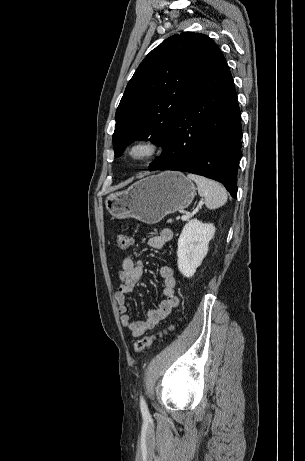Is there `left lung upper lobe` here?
<instances>
[{
    "label": "left lung upper lobe",
    "instance_id": "left-lung-upper-lobe-1",
    "mask_svg": "<svg viewBox=\"0 0 305 461\" xmlns=\"http://www.w3.org/2000/svg\"><path fill=\"white\" fill-rule=\"evenodd\" d=\"M221 54L211 38L193 32L175 34L153 49L130 79L117 108L115 157L132 141L147 137L164 149L173 120Z\"/></svg>",
    "mask_w": 305,
    "mask_h": 461
}]
</instances>
